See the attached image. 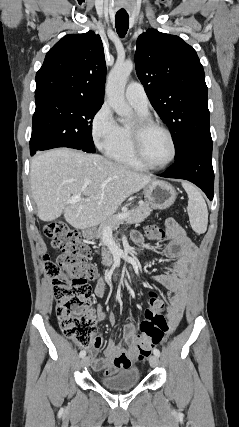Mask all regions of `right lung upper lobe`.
Returning a JSON list of instances; mask_svg holds the SVG:
<instances>
[{"label": "right lung upper lobe", "mask_w": 239, "mask_h": 427, "mask_svg": "<svg viewBox=\"0 0 239 427\" xmlns=\"http://www.w3.org/2000/svg\"><path fill=\"white\" fill-rule=\"evenodd\" d=\"M35 80V100L103 104L106 65L100 36L93 31L64 36L47 52Z\"/></svg>", "instance_id": "cb5924a9"}]
</instances>
